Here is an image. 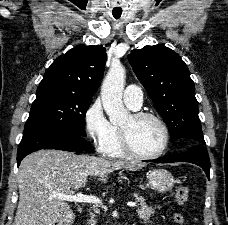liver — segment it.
<instances>
[{"label": "liver", "instance_id": "liver-1", "mask_svg": "<svg viewBox=\"0 0 228 225\" xmlns=\"http://www.w3.org/2000/svg\"><path fill=\"white\" fill-rule=\"evenodd\" d=\"M135 167L130 161H106L55 149L31 153L19 167V203L13 225H72L75 213L56 195H75L92 175L105 183L113 171H134Z\"/></svg>", "mask_w": 228, "mask_h": 225}]
</instances>
